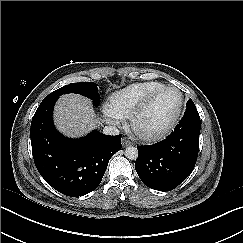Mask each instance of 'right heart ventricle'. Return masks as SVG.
<instances>
[{"label": "right heart ventricle", "mask_w": 243, "mask_h": 243, "mask_svg": "<svg viewBox=\"0 0 243 243\" xmlns=\"http://www.w3.org/2000/svg\"><path fill=\"white\" fill-rule=\"evenodd\" d=\"M164 86L155 80L132 83L110 97L111 109L122 118L129 117L147 97Z\"/></svg>", "instance_id": "1"}]
</instances>
